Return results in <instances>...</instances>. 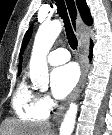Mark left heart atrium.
Returning <instances> with one entry per match:
<instances>
[{
	"instance_id": "left-heart-atrium-1",
	"label": "left heart atrium",
	"mask_w": 112,
	"mask_h": 135,
	"mask_svg": "<svg viewBox=\"0 0 112 135\" xmlns=\"http://www.w3.org/2000/svg\"><path fill=\"white\" fill-rule=\"evenodd\" d=\"M79 72L75 64H64L51 72V89L55 98L62 99L75 87Z\"/></svg>"
}]
</instances>
